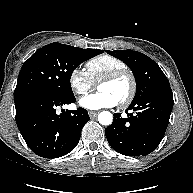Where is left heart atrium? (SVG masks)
I'll use <instances>...</instances> for the list:
<instances>
[{"label": "left heart atrium", "mask_w": 193, "mask_h": 193, "mask_svg": "<svg viewBox=\"0 0 193 193\" xmlns=\"http://www.w3.org/2000/svg\"><path fill=\"white\" fill-rule=\"evenodd\" d=\"M117 104L116 99L112 95L102 91L86 95L79 100V105L88 110L112 108Z\"/></svg>", "instance_id": "39dd6f15"}]
</instances>
